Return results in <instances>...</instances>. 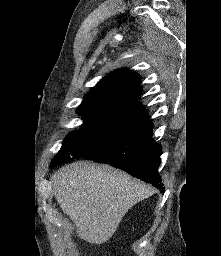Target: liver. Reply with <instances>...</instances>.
<instances>
[{
	"label": "liver",
	"mask_w": 221,
	"mask_h": 256,
	"mask_svg": "<svg viewBox=\"0 0 221 256\" xmlns=\"http://www.w3.org/2000/svg\"><path fill=\"white\" fill-rule=\"evenodd\" d=\"M54 195L62 211L91 244H102L115 233L127 211L154 193L150 185L109 165L78 161L52 177Z\"/></svg>",
	"instance_id": "6515ba94"
}]
</instances>
